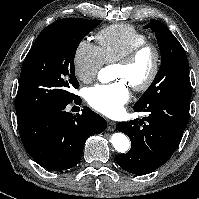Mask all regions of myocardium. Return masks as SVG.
<instances>
[{"mask_svg":"<svg viewBox=\"0 0 199 199\" xmlns=\"http://www.w3.org/2000/svg\"><path fill=\"white\" fill-rule=\"evenodd\" d=\"M146 52H149L152 55V66L148 76L143 82L131 85L133 90L136 92L147 91L156 81L161 66V53L159 48L155 44L147 41L133 47L130 51H128L124 56L115 62L116 65L128 67L131 66L141 55Z\"/></svg>","mask_w":199,"mask_h":199,"instance_id":"f54148a6","label":"myocardium"}]
</instances>
